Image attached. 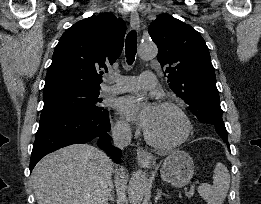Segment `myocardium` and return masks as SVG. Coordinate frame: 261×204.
<instances>
[{
	"label": "myocardium",
	"instance_id": "obj_1",
	"mask_svg": "<svg viewBox=\"0 0 261 204\" xmlns=\"http://www.w3.org/2000/svg\"><path fill=\"white\" fill-rule=\"evenodd\" d=\"M155 107L170 108V109H173L174 111H176L183 121L184 131H183L182 136L179 139H177L176 141H173L170 143H161V142L154 140L145 130L144 138H145L146 142L148 144H150L151 146L158 148V149H162V150L174 149V148L182 145L183 143H185L191 135L192 124H191V121H190L187 113L184 111V109L180 105H178L177 103L172 102V101H160V102L156 103Z\"/></svg>",
	"mask_w": 261,
	"mask_h": 204
}]
</instances>
